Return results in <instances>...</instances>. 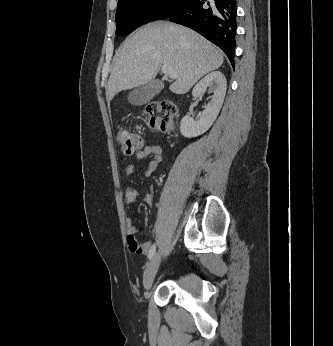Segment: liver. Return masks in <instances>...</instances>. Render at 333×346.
Segmentation results:
<instances>
[{
  "label": "liver",
  "mask_w": 333,
  "mask_h": 346,
  "mask_svg": "<svg viewBox=\"0 0 333 346\" xmlns=\"http://www.w3.org/2000/svg\"><path fill=\"white\" fill-rule=\"evenodd\" d=\"M223 61V53L195 31L167 22L150 23L128 37L118 49L106 97L111 101L123 90L147 84L163 65L177 73L170 91L184 94Z\"/></svg>",
  "instance_id": "6515ba94"
}]
</instances>
